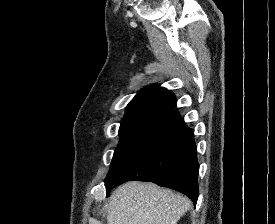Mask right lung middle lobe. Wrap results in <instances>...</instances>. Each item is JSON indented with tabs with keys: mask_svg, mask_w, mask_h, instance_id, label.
I'll use <instances>...</instances> for the list:
<instances>
[{
	"mask_svg": "<svg viewBox=\"0 0 275 224\" xmlns=\"http://www.w3.org/2000/svg\"><path fill=\"white\" fill-rule=\"evenodd\" d=\"M164 115L165 113L163 112H141L127 115L123 118L119 129L120 141L105 181L114 176Z\"/></svg>",
	"mask_w": 275,
	"mask_h": 224,
	"instance_id": "1",
	"label": "right lung middle lobe"
}]
</instances>
